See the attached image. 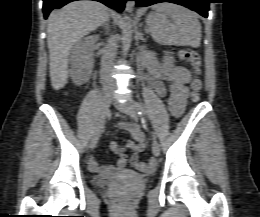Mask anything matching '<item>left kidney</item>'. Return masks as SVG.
Here are the masks:
<instances>
[{"instance_id":"obj_1","label":"left kidney","mask_w":260,"mask_h":217,"mask_svg":"<svg viewBox=\"0 0 260 217\" xmlns=\"http://www.w3.org/2000/svg\"><path fill=\"white\" fill-rule=\"evenodd\" d=\"M163 57V68L168 69L173 66L175 60L174 57L172 56L173 52L165 51Z\"/></svg>"}]
</instances>
